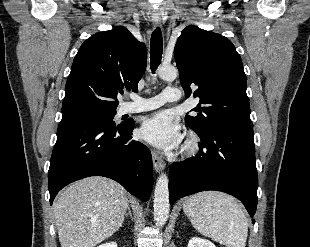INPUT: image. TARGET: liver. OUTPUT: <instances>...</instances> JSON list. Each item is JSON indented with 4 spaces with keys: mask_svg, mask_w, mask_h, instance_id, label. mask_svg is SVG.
<instances>
[{
    "mask_svg": "<svg viewBox=\"0 0 310 247\" xmlns=\"http://www.w3.org/2000/svg\"><path fill=\"white\" fill-rule=\"evenodd\" d=\"M129 201L117 182L94 176L62 190L53 204L61 247H94L122 225Z\"/></svg>",
    "mask_w": 310,
    "mask_h": 247,
    "instance_id": "1",
    "label": "liver"
}]
</instances>
